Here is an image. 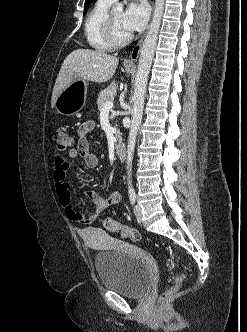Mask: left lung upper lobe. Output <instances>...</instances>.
Here are the masks:
<instances>
[{"instance_id":"1","label":"left lung upper lobe","mask_w":247,"mask_h":332,"mask_svg":"<svg viewBox=\"0 0 247 332\" xmlns=\"http://www.w3.org/2000/svg\"><path fill=\"white\" fill-rule=\"evenodd\" d=\"M92 2V0H86L85 1V5H84V14L86 13V10L88 8V6L90 5V3Z\"/></svg>"}]
</instances>
